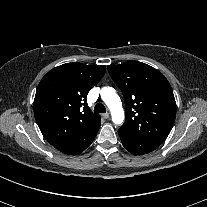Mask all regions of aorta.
<instances>
[{"instance_id":"762f6f07","label":"aorta","mask_w":207,"mask_h":207,"mask_svg":"<svg viewBox=\"0 0 207 207\" xmlns=\"http://www.w3.org/2000/svg\"><path fill=\"white\" fill-rule=\"evenodd\" d=\"M101 98L110 109L112 121L117 125H121L124 121V110L115 89L112 87H103L101 89Z\"/></svg>"}]
</instances>
